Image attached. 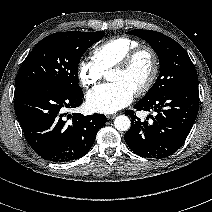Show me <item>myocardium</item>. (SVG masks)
<instances>
[{
    "label": "myocardium",
    "instance_id": "obj_1",
    "mask_svg": "<svg viewBox=\"0 0 212 212\" xmlns=\"http://www.w3.org/2000/svg\"><path fill=\"white\" fill-rule=\"evenodd\" d=\"M143 54L149 56L151 60V70L146 81L135 90L136 95H143L147 93L154 85L159 74V66H160L157 53L151 47L138 46L132 49L120 62H118L111 68V71L112 70L127 71L134 65L136 60Z\"/></svg>",
    "mask_w": 212,
    "mask_h": 212
}]
</instances>
